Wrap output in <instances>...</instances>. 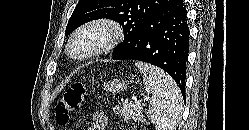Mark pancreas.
<instances>
[{
  "mask_svg": "<svg viewBox=\"0 0 249 130\" xmlns=\"http://www.w3.org/2000/svg\"><path fill=\"white\" fill-rule=\"evenodd\" d=\"M113 110L126 121L133 120L140 122L144 120L142 109L132 103L123 102L122 105L115 106Z\"/></svg>",
  "mask_w": 249,
  "mask_h": 130,
  "instance_id": "pancreas-1",
  "label": "pancreas"
}]
</instances>
